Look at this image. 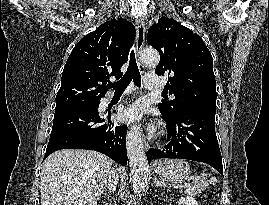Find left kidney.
<instances>
[{
  "instance_id": "left-kidney-1",
  "label": "left kidney",
  "mask_w": 269,
  "mask_h": 205,
  "mask_svg": "<svg viewBox=\"0 0 269 205\" xmlns=\"http://www.w3.org/2000/svg\"><path fill=\"white\" fill-rule=\"evenodd\" d=\"M178 205H198L197 201L190 197H181Z\"/></svg>"
}]
</instances>
